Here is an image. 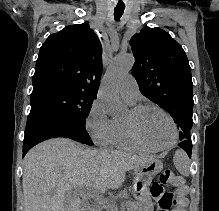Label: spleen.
Here are the masks:
<instances>
[{
  "instance_id": "3e777b00",
  "label": "spleen",
  "mask_w": 219,
  "mask_h": 211,
  "mask_svg": "<svg viewBox=\"0 0 219 211\" xmlns=\"http://www.w3.org/2000/svg\"><path fill=\"white\" fill-rule=\"evenodd\" d=\"M174 165L182 175L190 173V159L183 149H176L173 157Z\"/></svg>"
}]
</instances>
